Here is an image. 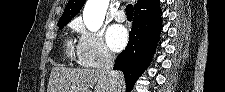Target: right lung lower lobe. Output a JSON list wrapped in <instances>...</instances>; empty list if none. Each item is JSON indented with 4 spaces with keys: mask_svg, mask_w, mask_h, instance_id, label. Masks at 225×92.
<instances>
[{
    "mask_svg": "<svg viewBox=\"0 0 225 92\" xmlns=\"http://www.w3.org/2000/svg\"><path fill=\"white\" fill-rule=\"evenodd\" d=\"M160 14L158 11L148 16L134 15L128 45L115 60L113 69L123 72L128 91L150 64L159 41Z\"/></svg>",
    "mask_w": 225,
    "mask_h": 92,
    "instance_id": "obj_1",
    "label": "right lung lower lobe"
}]
</instances>
